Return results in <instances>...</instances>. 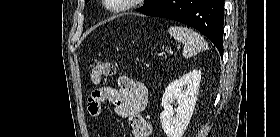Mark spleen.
Here are the masks:
<instances>
[{"label": "spleen", "instance_id": "spleen-1", "mask_svg": "<svg viewBox=\"0 0 280 137\" xmlns=\"http://www.w3.org/2000/svg\"><path fill=\"white\" fill-rule=\"evenodd\" d=\"M168 33L178 42L184 44L183 57L189 58L208 48L205 39L192 29L183 26H172Z\"/></svg>", "mask_w": 280, "mask_h": 137}]
</instances>
